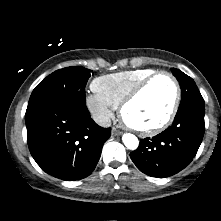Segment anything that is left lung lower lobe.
<instances>
[{
  "label": "left lung lower lobe",
  "mask_w": 221,
  "mask_h": 221,
  "mask_svg": "<svg viewBox=\"0 0 221 221\" xmlns=\"http://www.w3.org/2000/svg\"><path fill=\"white\" fill-rule=\"evenodd\" d=\"M205 104H188L178 109L173 124L165 131L140 141L130 154L143 173L158 178L172 176L192 161L202 142Z\"/></svg>",
  "instance_id": "obj_1"
}]
</instances>
